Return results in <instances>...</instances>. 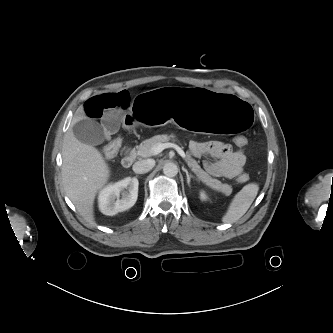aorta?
I'll use <instances>...</instances> for the list:
<instances>
[{"label": "aorta", "instance_id": "aorta-1", "mask_svg": "<svg viewBox=\"0 0 333 333\" xmlns=\"http://www.w3.org/2000/svg\"><path fill=\"white\" fill-rule=\"evenodd\" d=\"M163 173L168 177H174L178 174V167L172 162L166 163L163 167Z\"/></svg>", "mask_w": 333, "mask_h": 333}]
</instances>
